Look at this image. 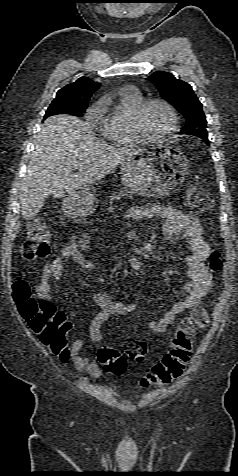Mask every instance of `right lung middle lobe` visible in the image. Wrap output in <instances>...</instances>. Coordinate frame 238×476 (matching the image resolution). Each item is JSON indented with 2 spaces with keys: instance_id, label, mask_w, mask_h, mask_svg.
<instances>
[{
  "instance_id": "1",
  "label": "right lung middle lobe",
  "mask_w": 238,
  "mask_h": 476,
  "mask_svg": "<svg viewBox=\"0 0 238 476\" xmlns=\"http://www.w3.org/2000/svg\"><path fill=\"white\" fill-rule=\"evenodd\" d=\"M86 107L87 104L74 103L72 100L65 97L55 98L48 107L44 118L60 113L78 116L85 112Z\"/></svg>"
}]
</instances>
